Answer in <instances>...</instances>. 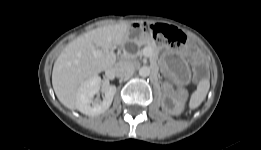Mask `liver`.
I'll use <instances>...</instances> for the list:
<instances>
[{"label": "liver", "mask_w": 261, "mask_h": 150, "mask_svg": "<svg viewBox=\"0 0 261 150\" xmlns=\"http://www.w3.org/2000/svg\"><path fill=\"white\" fill-rule=\"evenodd\" d=\"M131 26L127 23L96 28L70 42L56 59L52 85L59 101L67 108H77L76 92L87 80L113 67L116 55L113 45L127 41ZM100 50L95 57L92 50Z\"/></svg>", "instance_id": "6515ba94"}]
</instances>
